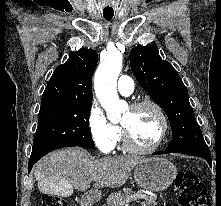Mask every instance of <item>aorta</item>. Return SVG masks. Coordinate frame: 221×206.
I'll use <instances>...</instances> for the list:
<instances>
[{"label": "aorta", "mask_w": 221, "mask_h": 206, "mask_svg": "<svg viewBox=\"0 0 221 206\" xmlns=\"http://www.w3.org/2000/svg\"><path fill=\"white\" fill-rule=\"evenodd\" d=\"M121 69L122 55L115 51L108 54L99 65L94 78L96 96L112 122L119 120L121 112L127 108L126 102L120 100L117 93V79Z\"/></svg>", "instance_id": "1"}]
</instances>
